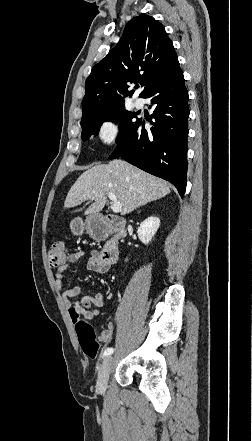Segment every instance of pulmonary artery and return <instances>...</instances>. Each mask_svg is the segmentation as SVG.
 I'll use <instances>...</instances> for the list:
<instances>
[{"label": "pulmonary artery", "mask_w": 252, "mask_h": 441, "mask_svg": "<svg viewBox=\"0 0 252 441\" xmlns=\"http://www.w3.org/2000/svg\"><path fill=\"white\" fill-rule=\"evenodd\" d=\"M134 106L137 109H140V108H142L144 106V103H143V101L141 99H135L134 100Z\"/></svg>", "instance_id": "1"}]
</instances>
